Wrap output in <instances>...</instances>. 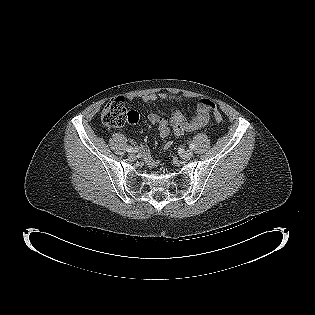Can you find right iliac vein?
Returning <instances> with one entry per match:
<instances>
[{
	"mask_svg": "<svg viewBox=\"0 0 315 315\" xmlns=\"http://www.w3.org/2000/svg\"><path fill=\"white\" fill-rule=\"evenodd\" d=\"M137 152H138L137 149H134V150L132 151V153H131V156H135V154H136Z\"/></svg>",
	"mask_w": 315,
	"mask_h": 315,
	"instance_id": "obj_1",
	"label": "right iliac vein"
}]
</instances>
